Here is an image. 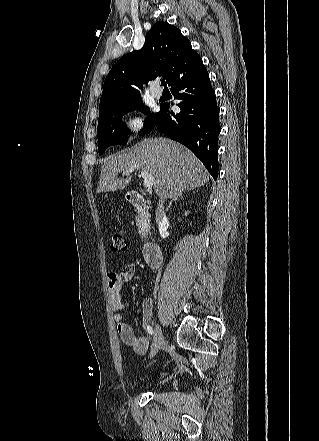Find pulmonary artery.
<instances>
[{"instance_id": "obj_1", "label": "pulmonary artery", "mask_w": 319, "mask_h": 441, "mask_svg": "<svg viewBox=\"0 0 319 441\" xmlns=\"http://www.w3.org/2000/svg\"><path fill=\"white\" fill-rule=\"evenodd\" d=\"M151 94L153 97L159 98L162 96V91L158 88L153 87V88H151Z\"/></svg>"}]
</instances>
